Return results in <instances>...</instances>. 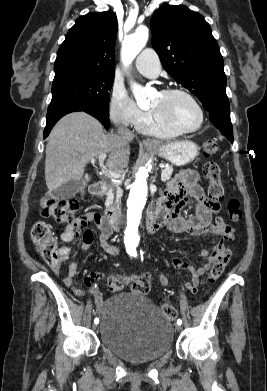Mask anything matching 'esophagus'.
Returning a JSON list of instances; mask_svg holds the SVG:
<instances>
[{
  "label": "esophagus",
  "instance_id": "34e87169",
  "mask_svg": "<svg viewBox=\"0 0 267 391\" xmlns=\"http://www.w3.org/2000/svg\"><path fill=\"white\" fill-rule=\"evenodd\" d=\"M143 144L145 146H154L155 145V143L152 140H150V139H144L143 140Z\"/></svg>",
  "mask_w": 267,
  "mask_h": 391
}]
</instances>
